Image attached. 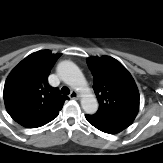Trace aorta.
Masks as SVG:
<instances>
[{
    "label": "aorta",
    "instance_id": "762f6f07",
    "mask_svg": "<svg viewBox=\"0 0 163 163\" xmlns=\"http://www.w3.org/2000/svg\"><path fill=\"white\" fill-rule=\"evenodd\" d=\"M57 72L66 84L80 92L81 106L85 113H96L98 102L78 66L71 61H63L58 65Z\"/></svg>",
    "mask_w": 163,
    "mask_h": 163
}]
</instances>
